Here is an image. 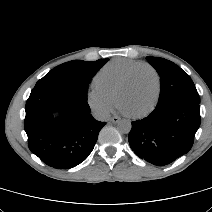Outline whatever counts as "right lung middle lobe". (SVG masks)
<instances>
[{"label": "right lung middle lobe", "mask_w": 212, "mask_h": 212, "mask_svg": "<svg viewBox=\"0 0 212 212\" xmlns=\"http://www.w3.org/2000/svg\"><path fill=\"white\" fill-rule=\"evenodd\" d=\"M107 61L108 59H99L94 62L73 60L63 63L41 78L33 90H67L86 97L87 87L91 78Z\"/></svg>", "instance_id": "dd1d6c3e"}]
</instances>
